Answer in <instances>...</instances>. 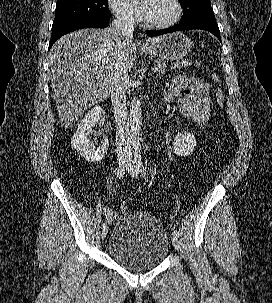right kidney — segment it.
<instances>
[{"instance_id":"right-kidney-1","label":"right kidney","mask_w":272,"mask_h":303,"mask_svg":"<svg viewBox=\"0 0 272 303\" xmlns=\"http://www.w3.org/2000/svg\"><path fill=\"white\" fill-rule=\"evenodd\" d=\"M103 118V109L100 106H95L89 110L83 120L78 125L76 133L71 139V144L79 154L90 162L100 161L107 153L109 142L104 139L101 144L96 147L90 142L88 134L96 123H99Z\"/></svg>"}]
</instances>
